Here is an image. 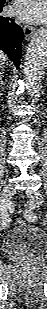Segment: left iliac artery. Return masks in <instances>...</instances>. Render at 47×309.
<instances>
[{"label": "left iliac artery", "instance_id": "left-iliac-artery-1", "mask_svg": "<svg viewBox=\"0 0 47 309\" xmlns=\"http://www.w3.org/2000/svg\"><path fill=\"white\" fill-rule=\"evenodd\" d=\"M31 219H32L33 221H35V220H37V216L34 215V214H32Z\"/></svg>", "mask_w": 47, "mask_h": 309}]
</instances>
